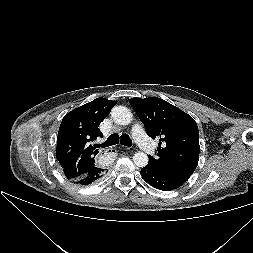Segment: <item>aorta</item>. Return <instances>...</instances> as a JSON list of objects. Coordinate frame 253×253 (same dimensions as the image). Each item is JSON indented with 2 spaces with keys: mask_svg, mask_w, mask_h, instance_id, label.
Returning <instances> with one entry per match:
<instances>
[{
  "mask_svg": "<svg viewBox=\"0 0 253 253\" xmlns=\"http://www.w3.org/2000/svg\"><path fill=\"white\" fill-rule=\"evenodd\" d=\"M111 116L115 123L128 125L133 120V114L124 106H115L111 111ZM133 162L138 167H145L148 164V156L144 152H137L133 156Z\"/></svg>",
  "mask_w": 253,
  "mask_h": 253,
  "instance_id": "762f6f07",
  "label": "aorta"
}]
</instances>
